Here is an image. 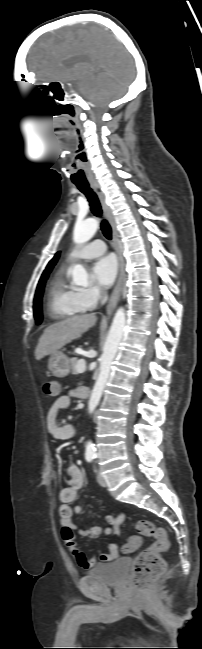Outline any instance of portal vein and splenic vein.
Returning a JSON list of instances; mask_svg holds the SVG:
<instances>
[{"label":"portal vein and splenic vein","mask_w":202,"mask_h":649,"mask_svg":"<svg viewBox=\"0 0 202 649\" xmlns=\"http://www.w3.org/2000/svg\"><path fill=\"white\" fill-rule=\"evenodd\" d=\"M77 369L79 373H84L86 370V364L84 360H79L77 363Z\"/></svg>","instance_id":"obj_1"}]
</instances>
